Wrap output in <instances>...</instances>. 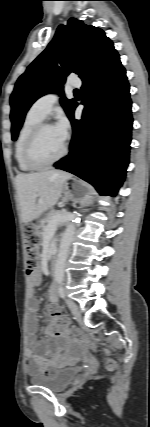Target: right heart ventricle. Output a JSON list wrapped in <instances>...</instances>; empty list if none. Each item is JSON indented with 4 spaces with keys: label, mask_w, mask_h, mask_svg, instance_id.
Segmentation results:
<instances>
[{
    "label": "right heart ventricle",
    "mask_w": 150,
    "mask_h": 427,
    "mask_svg": "<svg viewBox=\"0 0 150 427\" xmlns=\"http://www.w3.org/2000/svg\"><path fill=\"white\" fill-rule=\"evenodd\" d=\"M43 120V118L39 117L38 115H36L31 109L28 111V113L26 114L23 123L20 127V130L18 132V136L15 142V147H14V154H15V159L17 162V165L19 167V169L21 171L24 172H29L32 171L34 169H32L26 162L24 159V146H25V142L30 134V132L32 131V129L38 125L39 123H41Z\"/></svg>",
    "instance_id": "right-heart-ventricle-1"
}]
</instances>
